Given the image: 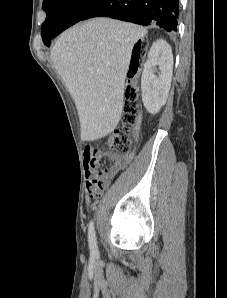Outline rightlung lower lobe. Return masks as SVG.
<instances>
[{
	"mask_svg": "<svg viewBox=\"0 0 227 298\" xmlns=\"http://www.w3.org/2000/svg\"><path fill=\"white\" fill-rule=\"evenodd\" d=\"M178 13L179 0H100L81 20L110 17L144 26L157 24L171 32L177 30Z\"/></svg>",
	"mask_w": 227,
	"mask_h": 298,
	"instance_id": "1",
	"label": "right lung lower lobe"
}]
</instances>
